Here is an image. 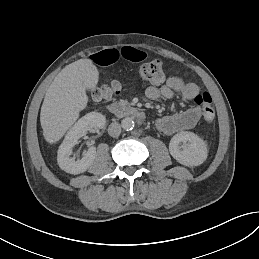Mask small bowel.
Here are the masks:
<instances>
[{
    "label": "small bowel",
    "mask_w": 259,
    "mask_h": 259,
    "mask_svg": "<svg viewBox=\"0 0 259 259\" xmlns=\"http://www.w3.org/2000/svg\"><path fill=\"white\" fill-rule=\"evenodd\" d=\"M146 51L132 46H124L121 49H106L99 51L91 56L92 61L99 66H108L117 62L120 58L139 62L146 58ZM200 93V87L191 82H185L180 77H168L160 87L151 86L147 88L146 95L149 99L156 100L164 97L173 98L176 94L180 95L185 102L195 100ZM203 109L201 106L191 107L183 112L162 116L156 119L155 127L158 131L166 135L191 129L197 125L202 117Z\"/></svg>",
    "instance_id": "c3829d8e"
}]
</instances>
